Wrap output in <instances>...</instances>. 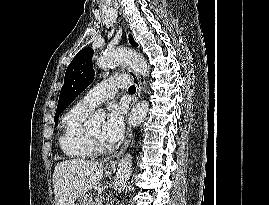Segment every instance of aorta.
<instances>
[{
	"mask_svg": "<svg viewBox=\"0 0 269 205\" xmlns=\"http://www.w3.org/2000/svg\"><path fill=\"white\" fill-rule=\"evenodd\" d=\"M118 64H126L130 66L134 71L147 75L149 72V65L147 64L146 59L136 53L135 51L128 49H114L105 52L99 59L97 60V65L101 68H107L113 65ZM149 110V103L147 102H139L137 103L130 115H129V123L132 126L140 125L147 116ZM99 118L97 116L92 117V121H97ZM132 169V156L130 153H126L120 163L119 168L116 173V181L114 184L115 190L121 192L125 189L127 182L130 178V173Z\"/></svg>",
	"mask_w": 269,
	"mask_h": 205,
	"instance_id": "1",
	"label": "aorta"
}]
</instances>
